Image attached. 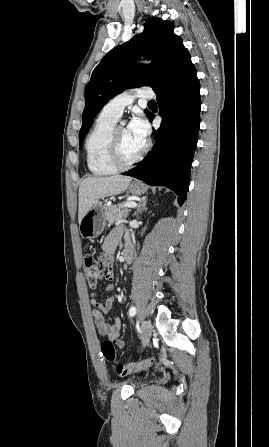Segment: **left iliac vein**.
Wrapping results in <instances>:
<instances>
[{
    "label": "left iliac vein",
    "instance_id": "4c4485c4",
    "mask_svg": "<svg viewBox=\"0 0 269 447\" xmlns=\"http://www.w3.org/2000/svg\"><path fill=\"white\" fill-rule=\"evenodd\" d=\"M141 326H142V331H143V335L141 336V339H142L143 344L147 345V344H149L150 337H151L152 324L148 320H143Z\"/></svg>",
    "mask_w": 269,
    "mask_h": 447
}]
</instances>
